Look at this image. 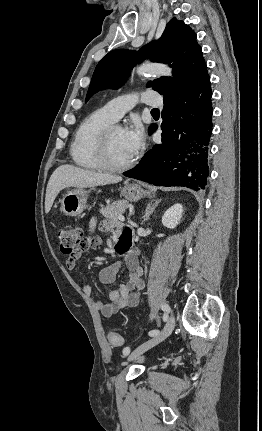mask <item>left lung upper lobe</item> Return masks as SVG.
I'll list each match as a JSON object with an SVG mask.
<instances>
[{"label": "left lung upper lobe", "instance_id": "5c2ea615", "mask_svg": "<svg viewBox=\"0 0 262 431\" xmlns=\"http://www.w3.org/2000/svg\"><path fill=\"white\" fill-rule=\"evenodd\" d=\"M149 54L153 62L169 64L174 70L173 78L161 77L147 84L164 97L189 91L209 77L196 34L188 25L173 18L158 41L138 52L118 49L103 57L93 73L86 101L98 90L120 88L133 66Z\"/></svg>", "mask_w": 262, "mask_h": 431}]
</instances>
